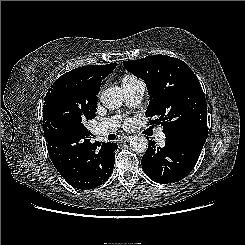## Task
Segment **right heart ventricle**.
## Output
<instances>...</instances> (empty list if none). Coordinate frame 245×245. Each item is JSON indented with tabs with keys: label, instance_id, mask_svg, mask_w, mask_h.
<instances>
[{
	"label": "right heart ventricle",
	"instance_id": "right-heart-ventricle-1",
	"mask_svg": "<svg viewBox=\"0 0 245 245\" xmlns=\"http://www.w3.org/2000/svg\"><path fill=\"white\" fill-rule=\"evenodd\" d=\"M135 80H137V78L135 76H133V75H129V74L128 75H124L122 77V85L123 84H129V83H131V82H133Z\"/></svg>",
	"mask_w": 245,
	"mask_h": 245
}]
</instances>
